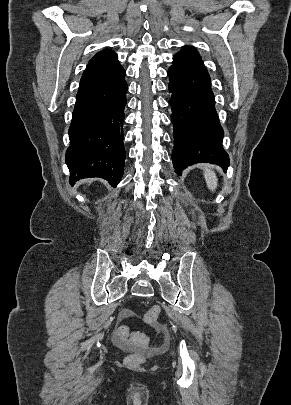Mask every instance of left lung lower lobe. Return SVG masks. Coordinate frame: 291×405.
<instances>
[{"instance_id": "1", "label": "left lung lower lobe", "mask_w": 291, "mask_h": 405, "mask_svg": "<svg viewBox=\"0 0 291 405\" xmlns=\"http://www.w3.org/2000/svg\"><path fill=\"white\" fill-rule=\"evenodd\" d=\"M174 125L172 161L175 172L208 162L227 168L229 156L222 147L223 129L215 110L211 79L196 49L184 47L174 55L167 72Z\"/></svg>"}]
</instances>
